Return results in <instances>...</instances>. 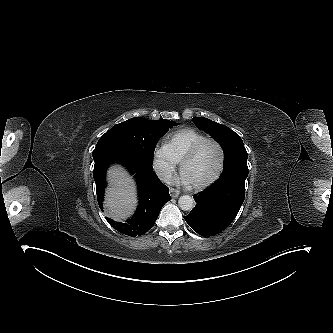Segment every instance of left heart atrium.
Returning a JSON list of instances; mask_svg holds the SVG:
<instances>
[{
    "instance_id": "39dd6f15",
    "label": "left heart atrium",
    "mask_w": 333,
    "mask_h": 333,
    "mask_svg": "<svg viewBox=\"0 0 333 333\" xmlns=\"http://www.w3.org/2000/svg\"><path fill=\"white\" fill-rule=\"evenodd\" d=\"M175 181H176V182H181V183H183V184H185V185H189V184H191L190 179L188 178L187 174H186L184 171L181 172L180 177H179V178H176Z\"/></svg>"
}]
</instances>
